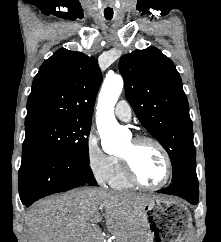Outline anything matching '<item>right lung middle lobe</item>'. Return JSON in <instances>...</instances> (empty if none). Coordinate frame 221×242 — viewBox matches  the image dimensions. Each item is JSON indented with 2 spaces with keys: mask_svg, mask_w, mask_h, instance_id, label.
<instances>
[{
  "mask_svg": "<svg viewBox=\"0 0 221 242\" xmlns=\"http://www.w3.org/2000/svg\"><path fill=\"white\" fill-rule=\"evenodd\" d=\"M91 121L73 118L27 125L23 150L47 149L89 163L88 136Z\"/></svg>",
  "mask_w": 221,
  "mask_h": 242,
  "instance_id": "obj_1",
  "label": "right lung middle lobe"
}]
</instances>
